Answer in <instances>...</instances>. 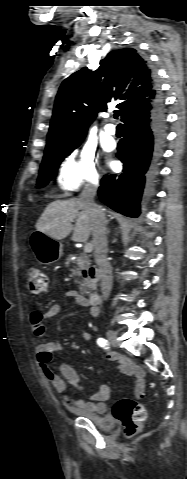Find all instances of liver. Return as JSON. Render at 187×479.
Masks as SVG:
<instances>
[{"instance_id": "1", "label": "liver", "mask_w": 187, "mask_h": 479, "mask_svg": "<svg viewBox=\"0 0 187 479\" xmlns=\"http://www.w3.org/2000/svg\"><path fill=\"white\" fill-rule=\"evenodd\" d=\"M36 229L55 240L66 238L73 230L75 242H86L92 232L89 214L78 198L51 202L38 219Z\"/></svg>"}]
</instances>
